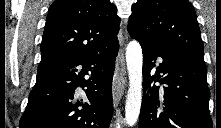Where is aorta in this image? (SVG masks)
I'll list each match as a JSON object with an SVG mask.
<instances>
[{"mask_svg":"<svg viewBox=\"0 0 221 128\" xmlns=\"http://www.w3.org/2000/svg\"><path fill=\"white\" fill-rule=\"evenodd\" d=\"M126 62L129 76V90L125 105V119L133 126L139 117L142 102V49L136 40L129 42L126 48Z\"/></svg>","mask_w":221,"mask_h":128,"instance_id":"aorta-1","label":"aorta"}]
</instances>
